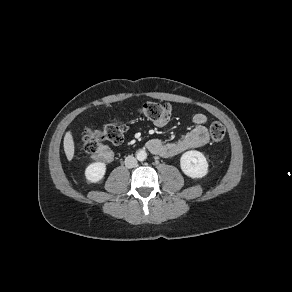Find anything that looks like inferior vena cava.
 <instances>
[{
	"label": "inferior vena cava",
	"instance_id": "obj_1",
	"mask_svg": "<svg viewBox=\"0 0 292 292\" xmlns=\"http://www.w3.org/2000/svg\"><path fill=\"white\" fill-rule=\"evenodd\" d=\"M125 166L127 168H134L137 166V159L133 156H128L125 158Z\"/></svg>",
	"mask_w": 292,
	"mask_h": 292
}]
</instances>
